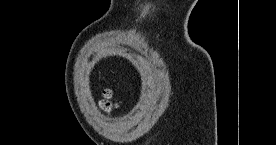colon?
<instances>
[{
    "mask_svg": "<svg viewBox=\"0 0 276 145\" xmlns=\"http://www.w3.org/2000/svg\"><path fill=\"white\" fill-rule=\"evenodd\" d=\"M103 99L101 107L106 112H111L118 107V104L113 100L112 92L109 89H106L102 93Z\"/></svg>",
    "mask_w": 276,
    "mask_h": 145,
    "instance_id": "obj_1",
    "label": "colon"
}]
</instances>
